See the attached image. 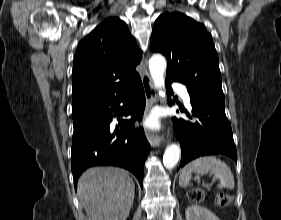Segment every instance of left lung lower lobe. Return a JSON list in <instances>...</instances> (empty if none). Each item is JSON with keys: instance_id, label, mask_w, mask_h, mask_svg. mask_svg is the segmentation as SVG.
Listing matches in <instances>:
<instances>
[{"instance_id": "1", "label": "left lung lower lobe", "mask_w": 281, "mask_h": 220, "mask_svg": "<svg viewBox=\"0 0 281 220\" xmlns=\"http://www.w3.org/2000/svg\"><path fill=\"white\" fill-rule=\"evenodd\" d=\"M172 82L166 80L169 92H172ZM187 90L192 111H186V114L191 121L174 118V130L182 150L180 167L197 157L213 154H224L237 161L236 147L224 103L205 99L198 90ZM181 111H185L184 108H181Z\"/></svg>"}]
</instances>
